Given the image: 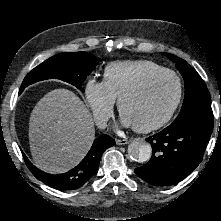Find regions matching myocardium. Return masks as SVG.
Masks as SVG:
<instances>
[{
  "mask_svg": "<svg viewBox=\"0 0 221 221\" xmlns=\"http://www.w3.org/2000/svg\"><path fill=\"white\" fill-rule=\"evenodd\" d=\"M163 75L172 76L177 83V95H176L175 101H174L173 105L171 106L170 110L168 111V113L161 120H159L153 124H150V125L133 126V129L136 132H140V133L152 132V131L161 129L162 127H164L165 125H167L170 122V120L175 115L177 109L179 108L182 97H183V83H182L180 76L175 71L170 70V69H166V68L151 72V73L145 75L143 78H141L134 85L129 87L127 90H125L118 98V104H117L118 111L120 114H122V106H123L124 101L127 98L142 91L153 79L163 76Z\"/></svg>",
  "mask_w": 221,
  "mask_h": 221,
  "instance_id": "1",
  "label": "myocardium"
}]
</instances>
